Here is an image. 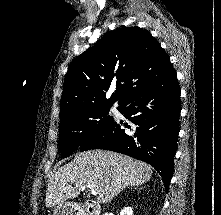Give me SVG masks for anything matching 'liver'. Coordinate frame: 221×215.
I'll return each mask as SVG.
<instances>
[{
	"label": "liver",
	"mask_w": 221,
	"mask_h": 215,
	"mask_svg": "<svg viewBox=\"0 0 221 215\" xmlns=\"http://www.w3.org/2000/svg\"><path fill=\"white\" fill-rule=\"evenodd\" d=\"M152 173L148 164L123 154L105 150L81 152L51 175L45 205L51 208L76 198L86 185L98 190L97 202L109 203L126 187L149 181Z\"/></svg>",
	"instance_id": "1"
}]
</instances>
